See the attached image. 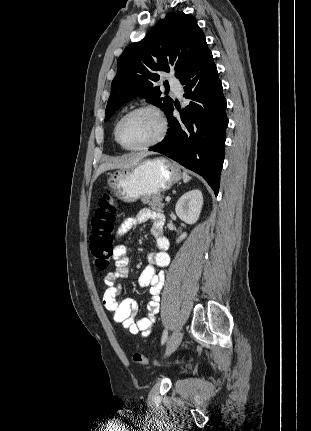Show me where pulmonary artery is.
<instances>
[{
  "mask_svg": "<svg viewBox=\"0 0 311 431\" xmlns=\"http://www.w3.org/2000/svg\"><path fill=\"white\" fill-rule=\"evenodd\" d=\"M170 86H171V89L174 91V93L177 96H181L182 95L183 88H182V86H181V84H180L179 81H171L170 82Z\"/></svg>",
  "mask_w": 311,
  "mask_h": 431,
  "instance_id": "pulmonary-artery-1",
  "label": "pulmonary artery"
}]
</instances>
